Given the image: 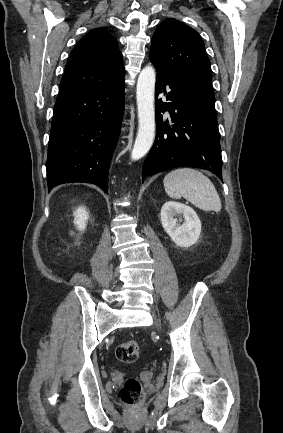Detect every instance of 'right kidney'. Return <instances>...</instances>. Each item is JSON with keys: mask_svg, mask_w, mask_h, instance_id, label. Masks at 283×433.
Wrapping results in <instances>:
<instances>
[{"mask_svg": "<svg viewBox=\"0 0 283 433\" xmlns=\"http://www.w3.org/2000/svg\"><path fill=\"white\" fill-rule=\"evenodd\" d=\"M88 219L89 213L85 207L80 206L74 212V224L77 226L78 230H85Z\"/></svg>", "mask_w": 283, "mask_h": 433, "instance_id": "right-kidney-1", "label": "right kidney"}]
</instances>
